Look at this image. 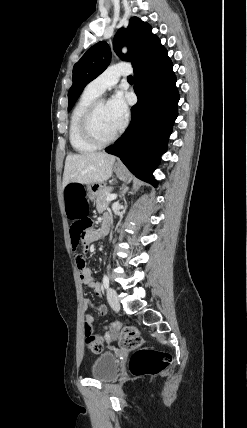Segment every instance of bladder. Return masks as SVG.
Wrapping results in <instances>:
<instances>
[{
    "mask_svg": "<svg viewBox=\"0 0 247 428\" xmlns=\"http://www.w3.org/2000/svg\"><path fill=\"white\" fill-rule=\"evenodd\" d=\"M118 372V359L112 352H102L93 361L91 376L99 381L113 380Z\"/></svg>",
    "mask_w": 247,
    "mask_h": 428,
    "instance_id": "1",
    "label": "bladder"
}]
</instances>
